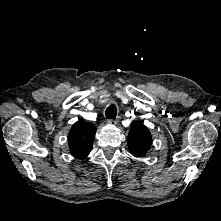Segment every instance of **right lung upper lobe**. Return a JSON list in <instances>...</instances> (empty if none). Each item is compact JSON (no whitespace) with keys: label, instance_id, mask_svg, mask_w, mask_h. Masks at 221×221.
Instances as JSON below:
<instances>
[{"label":"right lung upper lobe","instance_id":"1","mask_svg":"<svg viewBox=\"0 0 221 221\" xmlns=\"http://www.w3.org/2000/svg\"><path fill=\"white\" fill-rule=\"evenodd\" d=\"M96 128L93 124L77 121L68 134L71 154L78 160L85 159L92 150Z\"/></svg>","mask_w":221,"mask_h":221}]
</instances>
